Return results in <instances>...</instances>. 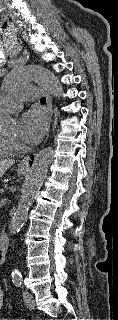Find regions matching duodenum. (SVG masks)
Listing matches in <instances>:
<instances>
[{
  "label": "duodenum",
  "instance_id": "1",
  "mask_svg": "<svg viewBox=\"0 0 118 320\" xmlns=\"http://www.w3.org/2000/svg\"><path fill=\"white\" fill-rule=\"evenodd\" d=\"M9 240L5 235L0 236V264L4 262L5 251L8 247Z\"/></svg>",
  "mask_w": 118,
  "mask_h": 320
}]
</instances>
